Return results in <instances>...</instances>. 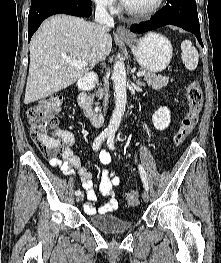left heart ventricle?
Instances as JSON below:
<instances>
[{
	"mask_svg": "<svg viewBox=\"0 0 221 263\" xmlns=\"http://www.w3.org/2000/svg\"><path fill=\"white\" fill-rule=\"evenodd\" d=\"M157 0H126V4L131 8L143 10L150 8L156 3Z\"/></svg>",
	"mask_w": 221,
	"mask_h": 263,
	"instance_id": "1",
	"label": "left heart ventricle"
}]
</instances>
